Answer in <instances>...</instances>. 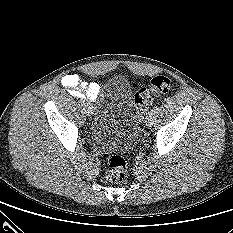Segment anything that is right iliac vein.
Wrapping results in <instances>:
<instances>
[{"mask_svg":"<svg viewBox=\"0 0 233 233\" xmlns=\"http://www.w3.org/2000/svg\"><path fill=\"white\" fill-rule=\"evenodd\" d=\"M84 109H85V113L88 115V116H91L93 114V109H92V106L89 105V104H86L84 106Z\"/></svg>","mask_w":233,"mask_h":233,"instance_id":"right-iliac-vein-1","label":"right iliac vein"}]
</instances>
